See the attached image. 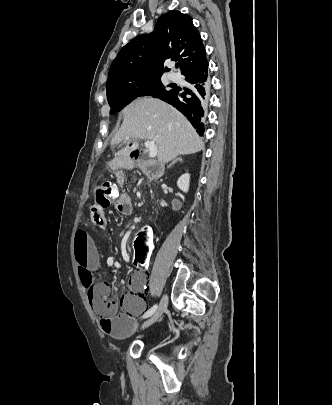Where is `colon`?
Instances as JSON below:
<instances>
[{
	"label": "colon",
	"mask_w": 332,
	"mask_h": 405,
	"mask_svg": "<svg viewBox=\"0 0 332 405\" xmlns=\"http://www.w3.org/2000/svg\"><path fill=\"white\" fill-rule=\"evenodd\" d=\"M117 191V184H101L96 190L95 204L92 208H102V210L106 207L112 208L115 198L120 197ZM93 219L95 222L102 224L101 217H93ZM154 238L155 233L147 229H141L136 234L132 250V266L137 270H142L149 266V260L152 259L155 249ZM88 296L93 309L100 317H111L113 315L116 301L107 282L92 283V286L88 290Z\"/></svg>",
	"instance_id": "5ec220e1"
}]
</instances>
